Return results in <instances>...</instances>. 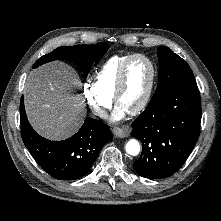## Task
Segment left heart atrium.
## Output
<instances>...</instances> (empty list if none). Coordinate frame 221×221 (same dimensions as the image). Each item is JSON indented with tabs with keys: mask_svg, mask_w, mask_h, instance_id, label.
<instances>
[{
	"mask_svg": "<svg viewBox=\"0 0 221 221\" xmlns=\"http://www.w3.org/2000/svg\"><path fill=\"white\" fill-rule=\"evenodd\" d=\"M127 111L120 106H117L113 112L112 120L119 121L125 117Z\"/></svg>",
	"mask_w": 221,
	"mask_h": 221,
	"instance_id": "left-heart-atrium-1",
	"label": "left heart atrium"
}]
</instances>
